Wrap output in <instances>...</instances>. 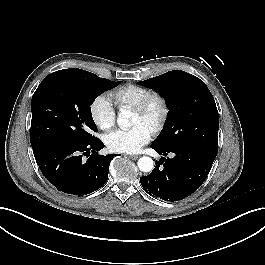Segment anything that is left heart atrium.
<instances>
[{
    "label": "left heart atrium",
    "instance_id": "obj_1",
    "mask_svg": "<svg viewBox=\"0 0 265 265\" xmlns=\"http://www.w3.org/2000/svg\"><path fill=\"white\" fill-rule=\"evenodd\" d=\"M151 139V130L143 124L115 130L105 136V144L112 152L136 153Z\"/></svg>",
    "mask_w": 265,
    "mask_h": 265
}]
</instances>
